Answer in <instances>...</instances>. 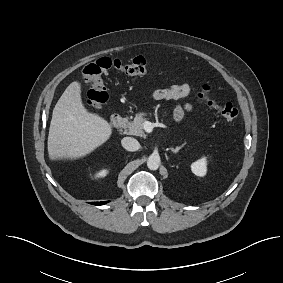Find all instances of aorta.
Listing matches in <instances>:
<instances>
[{"mask_svg":"<svg viewBox=\"0 0 283 283\" xmlns=\"http://www.w3.org/2000/svg\"><path fill=\"white\" fill-rule=\"evenodd\" d=\"M160 165V156L156 153H153L149 156L147 160V167L150 170H157Z\"/></svg>","mask_w":283,"mask_h":283,"instance_id":"762f6f07","label":"aorta"}]
</instances>
